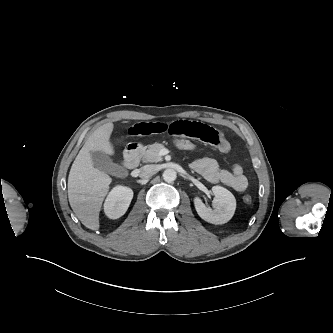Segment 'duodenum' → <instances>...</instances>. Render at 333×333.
<instances>
[{
	"mask_svg": "<svg viewBox=\"0 0 333 333\" xmlns=\"http://www.w3.org/2000/svg\"><path fill=\"white\" fill-rule=\"evenodd\" d=\"M139 163V145L130 144L124 154L123 166L126 169L132 170L138 166Z\"/></svg>",
	"mask_w": 333,
	"mask_h": 333,
	"instance_id": "410a0bca",
	"label": "duodenum"
}]
</instances>
